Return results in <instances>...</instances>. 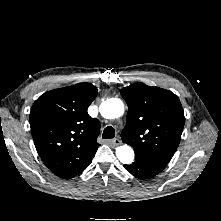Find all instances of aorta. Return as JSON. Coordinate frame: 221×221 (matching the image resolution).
Wrapping results in <instances>:
<instances>
[{
	"label": "aorta",
	"mask_w": 221,
	"mask_h": 221,
	"mask_svg": "<svg viewBox=\"0 0 221 221\" xmlns=\"http://www.w3.org/2000/svg\"><path fill=\"white\" fill-rule=\"evenodd\" d=\"M100 113L104 118L115 119L123 115L124 104L120 99H107L100 105ZM116 156L123 164H130L134 160V151L129 145H122L116 149Z\"/></svg>",
	"instance_id": "aorta-1"
}]
</instances>
